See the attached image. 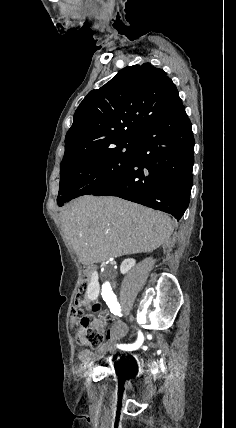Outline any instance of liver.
I'll return each instance as SVG.
<instances>
[{
    "label": "liver",
    "mask_w": 236,
    "mask_h": 428,
    "mask_svg": "<svg viewBox=\"0 0 236 428\" xmlns=\"http://www.w3.org/2000/svg\"><path fill=\"white\" fill-rule=\"evenodd\" d=\"M64 234L84 266L160 248L173 232L172 220L121 198L81 196L60 214Z\"/></svg>",
    "instance_id": "liver-1"
}]
</instances>
